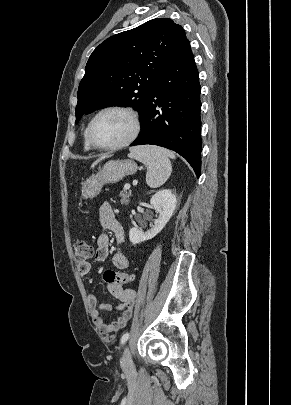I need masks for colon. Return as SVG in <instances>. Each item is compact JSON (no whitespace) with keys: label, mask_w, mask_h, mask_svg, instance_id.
Wrapping results in <instances>:
<instances>
[{"label":"colon","mask_w":291,"mask_h":405,"mask_svg":"<svg viewBox=\"0 0 291 405\" xmlns=\"http://www.w3.org/2000/svg\"><path fill=\"white\" fill-rule=\"evenodd\" d=\"M74 250L75 259L78 265L86 263L93 255L92 246L85 240H77L74 244ZM104 278L108 283L124 285L132 280V275L109 270L105 272Z\"/></svg>","instance_id":"colon-1"}]
</instances>
